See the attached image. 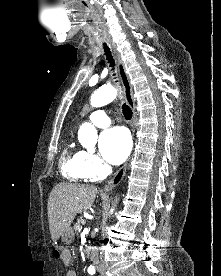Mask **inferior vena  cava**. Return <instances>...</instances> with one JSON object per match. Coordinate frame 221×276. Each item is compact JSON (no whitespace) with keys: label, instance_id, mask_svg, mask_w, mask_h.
<instances>
[{"label":"inferior vena cava","instance_id":"1","mask_svg":"<svg viewBox=\"0 0 221 276\" xmlns=\"http://www.w3.org/2000/svg\"><path fill=\"white\" fill-rule=\"evenodd\" d=\"M111 172V170H110ZM91 261L93 262V264L96 266V267H99L100 266V261H99V252H98V249L97 248H94L91 252V257H90Z\"/></svg>","mask_w":221,"mask_h":276}]
</instances>
